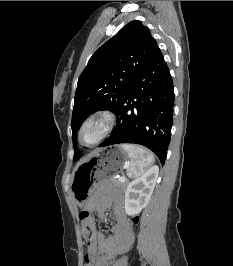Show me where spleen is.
Masks as SVG:
<instances>
[{"label":"spleen","mask_w":233,"mask_h":266,"mask_svg":"<svg viewBox=\"0 0 233 266\" xmlns=\"http://www.w3.org/2000/svg\"><path fill=\"white\" fill-rule=\"evenodd\" d=\"M121 147L127 152L130 159L127 168V175L130 178L143 175L155 161L153 154L141 146L122 144Z\"/></svg>","instance_id":"1"}]
</instances>
